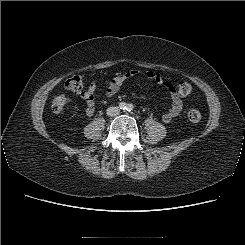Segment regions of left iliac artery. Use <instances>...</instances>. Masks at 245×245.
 Segmentation results:
<instances>
[{"label": "left iliac artery", "mask_w": 245, "mask_h": 245, "mask_svg": "<svg viewBox=\"0 0 245 245\" xmlns=\"http://www.w3.org/2000/svg\"><path fill=\"white\" fill-rule=\"evenodd\" d=\"M133 110V105L132 104H128L127 105V111H132Z\"/></svg>", "instance_id": "44dca946"}]
</instances>
